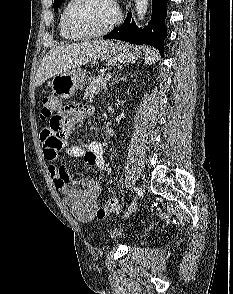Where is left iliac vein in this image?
Returning <instances> with one entry per match:
<instances>
[{
	"label": "left iliac vein",
	"instance_id": "1",
	"mask_svg": "<svg viewBox=\"0 0 233 294\" xmlns=\"http://www.w3.org/2000/svg\"><path fill=\"white\" fill-rule=\"evenodd\" d=\"M139 201L138 197H134L133 201L131 202L130 207H128V212L126 213L125 217H128L131 213L135 212V209L137 208L136 202Z\"/></svg>",
	"mask_w": 233,
	"mask_h": 294
}]
</instances>
